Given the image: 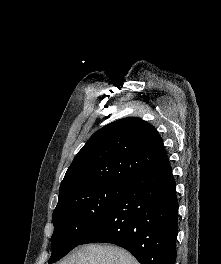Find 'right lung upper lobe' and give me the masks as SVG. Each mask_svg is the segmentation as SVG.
I'll return each instance as SVG.
<instances>
[{"instance_id":"right-lung-upper-lobe-1","label":"right lung upper lobe","mask_w":221,"mask_h":264,"mask_svg":"<svg viewBox=\"0 0 221 264\" xmlns=\"http://www.w3.org/2000/svg\"><path fill=\"white\" fill-rule=\"evenodd\" d=\"M168 163L163 140L152 125L137 117L117 120L95 132L75 156L58 203L94 185L127 183Z\"/></svg>"}]
</instances>
